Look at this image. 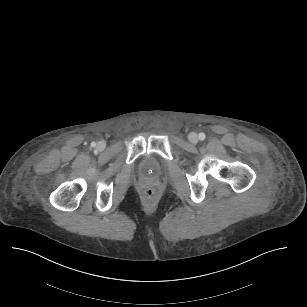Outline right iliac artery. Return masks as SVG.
<instances>
[{"label": "right iliac artery", "instance_id": "1", "mask_svg": "<svg viewBox=\"0 0 307 307\" xmlns=\"http://www.w3.org/2000/svg\"><path fill=\"white\" fill-rule=\"evenodd\" d=\"M91 145H92L93 147H94V146H96V144H95V143H92Z\"/></svg>", "mask_w": 307, "mask_h": 307}]
</instances>
